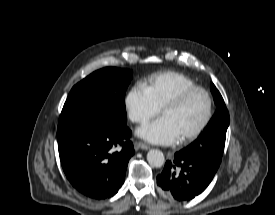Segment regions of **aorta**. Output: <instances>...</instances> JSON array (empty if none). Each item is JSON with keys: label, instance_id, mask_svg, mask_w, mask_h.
I'll use <instances>...</instances> for the list:
<instances>
[{"label": "aorta", "instance_id": "762f6f07", "mask_svg": "<svg viewBox=\"0 0 275 215\" xmlns=\"http://www.w3.org/2000/svg\"><path fill=\"white\" fill-rule=\"evenodd\" d=\"M147 160L152 167L160 168L164 165V154L157 149L150 150L147 155Z\"/></svg>", "mask_w": 275, "mask_h": 215}]
</instances>
